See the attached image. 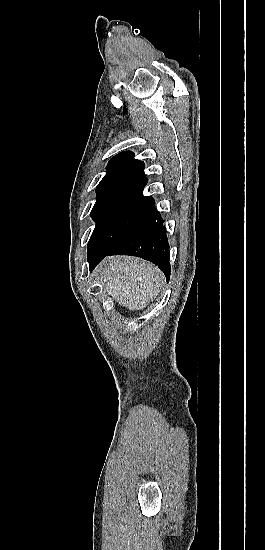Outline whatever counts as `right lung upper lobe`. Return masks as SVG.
<instances>
[{"instance_id":"obj_1","label":"right lung upper lobe","mask_w":265,"mask_h":550,"mask_svg":"<svg viewBox=\"0 0 265 550\" xmlns=\"http://www.w3.org/2000/svg\"><path fill=\"white\" fill-rule=\"evenodd\" d=\"M144 168V163L134 159L131 151L115 155L106 167V175L96 187L97 196L122 189H143L148 182Z\"/></svg>"}]
</instances>
